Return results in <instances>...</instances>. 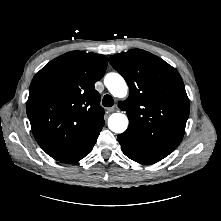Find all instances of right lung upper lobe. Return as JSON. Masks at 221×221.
Instances as JSON below:
<instances>
[{
    "instance_id": "obj_1",
    "label": "right lung upper lobe",
    "mask_w": 221,
    "mask_h": 221,
    "mask_svg": "<svg viewBox=\"0 0 221 221\" xmlns=\"http://www.w3.org/2000/svg\"><path fill=\"white\" fill-rule=\"evenodd\" d=\"M107 63L104 55L71 51L34 76L26 111L37 143L49 156L78 147L104 121L94 84Z\"/></svg>"
}]
</instances>
